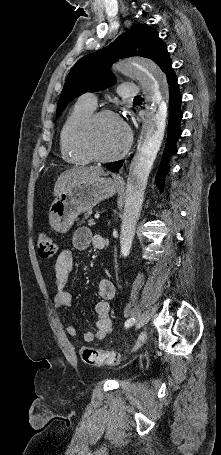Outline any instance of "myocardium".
<instances>
[{
  "mask_svg": "<svg viewBox=\"0 0 221 455\" xmlns=\"http://www.w3.org/2000/svg\"><path fill=\"white\" fill-rule=\"evenodd\" d=\"M104 117H113L118 119L125 128L126 141L123 147L117 152L110 155H100L92 147L91 138L95 125ZM133 136L130 129L123 123L121 117L114 111L108 109H102L90 114L82 123L79 131V141L82 150L87 154L90 160L95 162H112L123 157L131 148Z\"/></svg>",
  "mask_w": 221,
  "mask_h": 455,
  "instance_id": "myocardium-1",
  "label": "myocardium"
}]
</instances>
